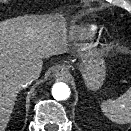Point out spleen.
Returning a JSON list of instances; mask_svg holds the SVG:
<instances>
[{
	"label": "spleen",
	"instance_id": "1",
	"mask_svg": "<svg viewBox=\"0 0 131 131\" xmlns=\"http://www.w3.org/2000/svg\"><path fill=\"white\" fill-rule=\"evenodd\" d=\"M100 107L112 122L117 124L131 123V87L119 98L101 103Z\"/></svg>",
	"mask_w": 131,
	"mask_h": 131
}]
</instances>
